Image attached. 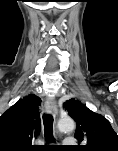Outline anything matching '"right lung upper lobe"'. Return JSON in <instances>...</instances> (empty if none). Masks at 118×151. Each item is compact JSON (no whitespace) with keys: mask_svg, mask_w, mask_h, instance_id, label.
I'll list each match as a JSON object with an SVG mask.
<instances>
[{"mask_svg":"<svg viewBox=\"0 0 118 151\" xmlns=\"http://www.w3.org/2000/svg\"><path fill=\"white\" fill-rule=\"evenodd\" d=\"M41 99L30 94L0 117V151H31L33 136L40 132V114L38 106Z\"/></svg>","mask_w":118,"mask_h":151,"instance_id":"1","label":"right lung upper lobe"}]
</instances>
